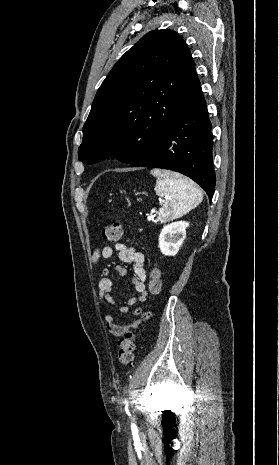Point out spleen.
Masks as SVG:
<instances>
[{"label":"spleen","mask_w":279,"mask_h":465,"mask_svg":"<svg viewBox=\"0 0 279 465\" xmlns=\"http://www.w3.org/2000/svg\"><path fill=\"white\" fill-rule=\"evenodd\" d=\"M157 178L155 192L160 201L158 220L166 222L187 214L203 200L202 191L190 179L167 170L154 169Z\"/></svg>","instance_id":"spleen-1"}]
</instances>
